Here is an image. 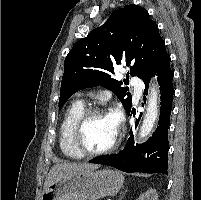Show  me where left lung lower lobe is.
Here are the masks:
<instances>
[{"mask_svg": "<svg viewBox=\"0 0 201 200\" xmlns=\"http://www.w3.org/2000/svg\"><path fill=\"white\" fill-rule=\"evenodd\" d=\"M170 56L164 53L154 68L143 78L147 88L151 77L157 74L161 92V107L158 127L145 143L134 145V137L130 131L127 144L118 154L105 155L90 160V163L109 165L121 171L133 173H162L167 174L168 166V128L172 110L174 88L172 85L173 72L170 68ZM130 112H127L130 115Z\"/></svg>", "mask_w": 201, "mask_h": 200, "instance_id": "0a47b994", "label": "left lung lower lobe"}]
</instances>
